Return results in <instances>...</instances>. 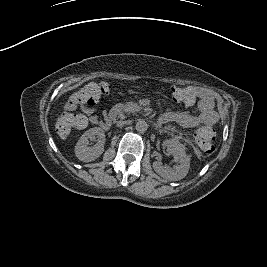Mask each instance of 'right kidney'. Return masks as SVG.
Listing matches in <instances>:
<instances>
[{"label":"right kidney","instance_id":"right-kidney-1","mask_svg":"<svg viewBox=\"0 0 267 267\" xmlns=\"http://www.w3.org/2000/svg\"><path fill=\"white\" fill-rule=\"evenodd\" d=\"M105 133L99 127L87 130L78 140L75 146L76 157L83 162H91L97 159L104 151ZM90 141H96L94 146H89Z\"/></svg>","mask_w":267,"mask_h":267}]
</instances>
